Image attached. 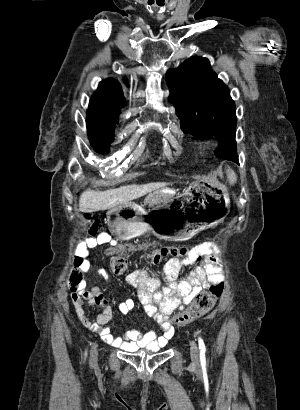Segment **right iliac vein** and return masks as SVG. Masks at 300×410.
Instances as JSON below:
<instances>
[{"mask_svg":"<svg viewBox=\"0 0 300 410\" xmlns=\"http://www.w3.org/2000/svg\"><path fill=\"white\" fill-rule=\"evenodd\" d=\"M98 357V350H97V344H94L91 353H90V361L91 363H95L97 361Z\"/></svg>","mask_w":300,"mask_h":410,"instance_id":"obj_1","label":"right iliac vein"}]
</instances>
